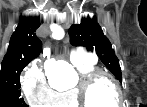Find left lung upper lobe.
I'll list each match as a JSON object with an SVG mask.
<instances>
[{"instance_id":"obj_1","label":"left lung upper lobe","mask_w":147,"mask_h":107,"mask_svg":"<svg viewBox=\"0 0 147 107\" xmlns=\"http://www.w3.org/2000/svg\"><path fill=\"white\" fill-rule=\"evenodd\" d=\"M68 32L73 46H84L87 50L96 51L105 66L122 82L119 60L96 18L83 19L80 24H73Z\"/></svg>"}]
</instances>
